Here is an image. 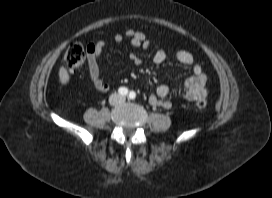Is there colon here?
Instances as JSON below:
<instances>
[{"label": "colon", "mask_w": 272, "mask_h": 198, "mask_svg": "<svg viewBox=\"0 0 272 198\" xmlns=\"http://www.w3.org/2000/svg\"><path fill=\"white\" fill-rule=\"evenodd\" d=\"M64 64L70 72L81 70L85 64V49L80 43H71L64 55ZM196 106L199 109L207 107V100L199 98L196 100Z\"/></svg>", "instance_id": "colon-1"}]
</instances>
